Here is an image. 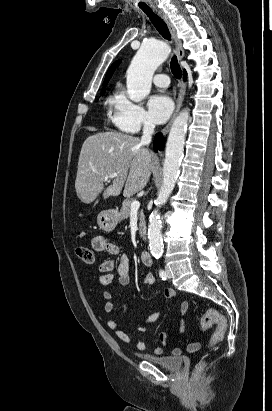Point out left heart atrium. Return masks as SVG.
Listing matches in <instances>:
<instances>
[{"label": "left heart atrium", "mask_w": 272, "mask_h": 411, "mask_svg": "<svg viewBox=\"0 0 272 411\" xmlns=\"http://www.w3.org/2000/svg\"><path fill=\"white\" fill-rule=\"evenodd\" d=\"M148 108L152 120L156 123H163L172 113L173 102L167 95L158 94L150 98Z\"/></svg>", "instance_id": "obj_1"}]
</instances>
